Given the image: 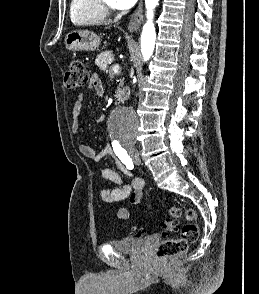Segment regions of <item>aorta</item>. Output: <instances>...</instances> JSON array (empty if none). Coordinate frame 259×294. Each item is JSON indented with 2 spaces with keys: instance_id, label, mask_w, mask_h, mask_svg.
<instances>
[{
  "instance_id": "obj_1",
  "label": "aorta",
  "mask_w": 259,
  "mask_h": 294,
  "mask_svg": "<svg viewBox=\"0 0 259 294\" xmlns=\"http://www.w3.org/2000/svg\"><path fill=\"white\" fill-rule=\"evenodd\" d=\"M159 0H145L147 22L144 24L141 35V52L144 61H148L153 54L156 40L153 23L154 9ZM139 125L138 115L130 109H116L110 119V135L119 140L126 141L135 138Z\"/></svg>"
}]
</instances>
